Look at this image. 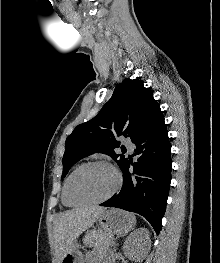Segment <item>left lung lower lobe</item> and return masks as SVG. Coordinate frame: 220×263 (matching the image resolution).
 I'll return each instance as SVG.
<instances>
[{
    "label": "left lung lower lobe",
    "mask_w": 220,
    "mask_h": 263,
    "mask_svg": "<svg viewBox=\"0 0 220 263\" xmlns=\"http://www.w3.org/2000/svg\"><path fill=\"white\" fill-rule=\"evenodd\" d=\"M137 162L126 160L121 191L106 202V207L121 208L144 216L159 234L171 182V145L164 117L141 138L133 142ZM133 166V173L129 167Z\"/></svg>",
    "instance_id": "0a47b994"
}]
</instances>
